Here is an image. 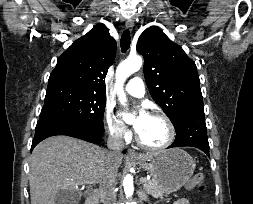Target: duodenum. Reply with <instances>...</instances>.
<instances>
[{
  "mask_svg": "<svg viewBox=\"0 0 253 204\" xmlns=\"http://www.w3.org/2000/svg\"><path fill=\"white\" fill-rule=\"evenodd\" d=\"M99 192L92 190L86 198L85 204H98Z\"/></svg>",
  "mask_w": 253,
  "mask_h": 204,
  "instance_id": "1",
  "label": "duodenum"
}]
</instances>
